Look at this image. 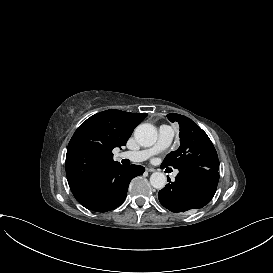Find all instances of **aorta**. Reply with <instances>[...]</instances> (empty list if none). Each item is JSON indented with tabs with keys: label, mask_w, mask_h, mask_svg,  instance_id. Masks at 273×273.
<instances>
[{
	"label": "aorta",
	"mask_w": 273,
	"mask_h": 273,
	"mask_svg": "<svg viewBox=\"0 0 273 273\" xmlns=\"http://www.w3.org/2000/svg\"><path fill=\"white\" fill-rule=\"evenodd\" d=\"M136 141L143 147L152 146L157 140V129L149 123H143L136 127L134 132ZM151 186L163 189L167 183L166 176L161 172H155L150 176Z\"/></svg>",
	"instance_id": "762f6f07"
}]
</instances>
